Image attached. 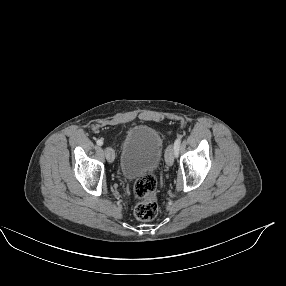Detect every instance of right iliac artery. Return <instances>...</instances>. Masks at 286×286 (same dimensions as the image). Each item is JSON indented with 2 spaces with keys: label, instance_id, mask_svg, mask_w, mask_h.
<instances>
[{
  "label": "right iliac artery",
  "instance_id": "82829eb1",
  "mask_svg": "<svg viewBox=\"0 0 286 286\" xmlns=\"http://www.w3.org/2000/svg\"><path fill=\"white\" fill-rule=\"evenodd\" d=\"M97 145L99 146L103 145V140L102 139L97 140Z\"/></svg>",
  "mask_w": 286,
  "mask_h": 286
}]
</instances>
